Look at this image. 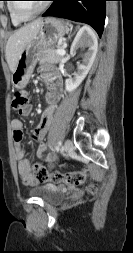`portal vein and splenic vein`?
Instances as JSON below:
<instances>
[{"label": "portal vein and splenic vein", "mask_w": 133, "mask_h": 253, "mask_svg": "<svg viewBox=\"0 0 133 253\" xmlns=\"http://www.w3.org/2000/svg\"><path fill=\"white\" fill-rule=\"evenodd\" d=\"M57 53H58L59 55H62V56H63V55H65L66 52H65L64 49H58V50H57Z\"/></svg>", "instance_id": "1"}]
</instances>
